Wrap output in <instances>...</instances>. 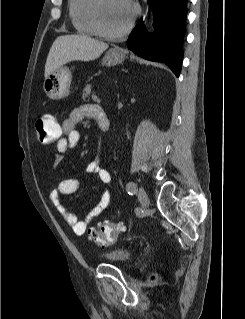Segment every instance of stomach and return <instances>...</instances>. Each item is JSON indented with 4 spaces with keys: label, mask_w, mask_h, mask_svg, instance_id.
Returning a JSON list of instances; mask_svg holds the SVG:
<instances>
[{
    "label": "stomach",
    "mask_w": 245,
    "mask_h": 319,
    "mask_svg": "<svg viewBox=\"0 0 245 319\" xmlns=\"http://www.w3.org/2000/svg\"><path fill=\"white\" fill-rule=\"evenodd\" d=\"M126 55L118 49L109 50L103 58V64L113 66L124 61ZM72 74L68 67L61 66L45 78L43 89L52 100L64 99L70 94Z\"/></svg>",
    "instance_id": "1"
}]
</instances>
